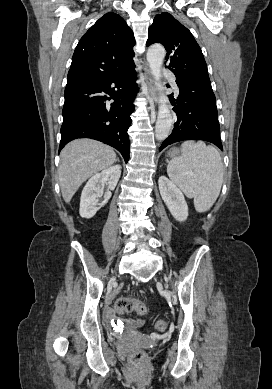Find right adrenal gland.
I'll return each instance as SVG.
<instances>
[{
    "label": "right adrenal gland",
    "mask_w": 272,
    "mask_h": 389,
    "mask_svg": "<svg viewBox=\"0 0 272 389\" xmlns=\"http://www.w3.org/2000/svg\"><path fill=\"white\" fill-rule=\"evenodd\" d=\"M116 161H118V162H119V159L117 158V159H116Z\"/></svg>",
    "instance_id": "1"
}]
</instances>
